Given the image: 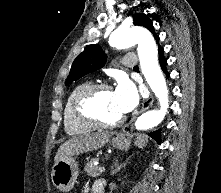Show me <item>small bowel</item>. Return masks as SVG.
I'll use <instances>...</instances> for the list:
<instances>
[{
	"label": "small bowel",
	"instance_id": "obj_1",
	"mask_svg": "<svg viewBox=\"0 0 221 193\" xmlns=\"http://www.w3.org/2000/svg\"><path fill=\"white\" fill-rule=\"evenodd\" d=\"M98 188L103 189L102 184H96V185L94 186V190H95V189H98Z\"/></svg>",
	"mask_w": 221,
	"mask_h": 193
}]
</instances>
